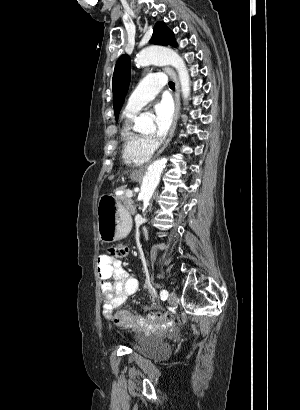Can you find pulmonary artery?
<instances>
[{"instance_id":"pulmonary-artery-1","label":"pulmonary artery","mask_w":300,"mask_h":410,"mask_svg":"<svg viewBox=\"0 0 300 410\" xmlns=\"http://www.w3.org/2000/svg\"><path fill=\"white\" fill-rule=\"evenodd\" d=\"M166 84V78L162 73L151 74L143 78L137 89L127 100L125 111L137 112L147 102L152 100Z\"/></svg>"}]
</instances>
